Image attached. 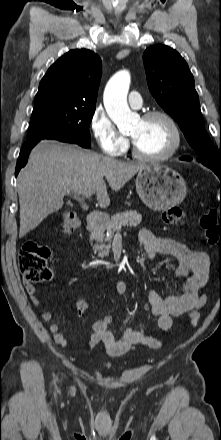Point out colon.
<instances>
[{"label":"colon","mask_w":221,"mask_h":440,"mask_svg":"<svg viewBox=\"0 0 221 440\" xmlns=\"http://www.w3.org/2000/svg\"><path fill=\"white\" fill-rule=\"evenodd\" d=\"M184 219V212L179 207H171L162 213V221L166 225H180ZM201 228L204 230L205 239L211 246L221 245V221L217 222L214 216L208 214L200 220ZM81 226L80 217L74 212H66L62 218V228L65 232H72ZM50 249L36 241H27L23 244L18 254V266L25 281L29 284H39L48 281L52 277V271L48 266ZM89 308L86 300H79L76 303V310L79 315L87 312ZM104 324H113L112 312H105Z\"/></svg>","instance_id":"1"}]
</instances>
